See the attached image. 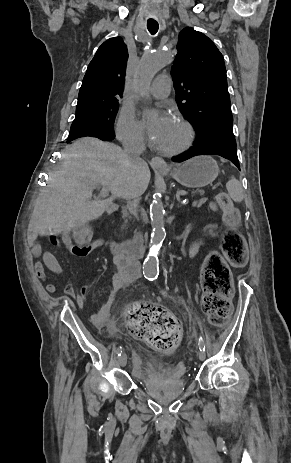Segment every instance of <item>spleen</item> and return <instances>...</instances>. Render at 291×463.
Instances as JSON below:
<instances>
[{
    "instance_id": "obj_1",
    "label": "spleen",
    "mask_w": 291,
    "mask_h": 463,
    "mask_svg": "<svg viewBox=\"0 0 291 463\" xmlns=\"http://www.w3.org/2000/svg\"><path fill=\"white\" fill-rule=\"evenodd\" d=\"M226 188L230 197L235 202H241L243 200L244 191L242 185L235 177H231L229 179V181L226 183Z\"/></svg>"
}]
</instances>
